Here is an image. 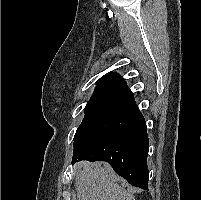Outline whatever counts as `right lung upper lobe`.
I'll return each mask as SVG.
<instances>
[{
  "label": "right lung upper lobe",
  "instance_id": "cb5924a9",
  "mask_svg": "<svg viewBox=\"0 0 201 200\" xmlns=\"http://www.w3.org/2000/svg\"><path fill=\"white\" fill-rule=\"evenodd\" d=\"M97 87L95 88L94 93L96 92H106L112 93L119 96L128 97L131 100H134V96L130 89L127 86L125 80L115 72L108 73L104 75L97 81Z\"/></svg>",
  "mask_w": 201,
  "mask_h": 200
}]
</instances>
